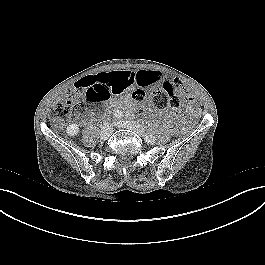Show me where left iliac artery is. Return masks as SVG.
I'll list each match as a JSON object with an SVG mask.
<instances>
[{"label":"left iliac artery","instance_id":"1","mask_svg":"<svg viewBox=\"0 0 265 265\" xmlns=\"http://www.w3.org/2000/svg\"><path fill=\"white\" fill-rule=\"evenodd\" d=\"M153 138H155L152 134H148L145 136L146 140H152Z\"/></svg>","mask_w":265,"mask_h":265}]
</instances>
